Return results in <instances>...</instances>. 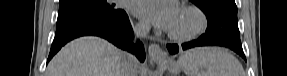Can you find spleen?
<instances>
[{"label":"spleen","instance_id":"obj_1","mask_svg":"<svg viewBox=\"0 0 287 76\" xmlns=\"http://www.w3.org/2000/svg\"><path fill=\"white\" fill-rule=\"evenodd\" d=\"M187 76H245L236 57L221 47H196L178 59Z\"/></svg>","mask_w":287,"mask_h":76}]
</instances>
